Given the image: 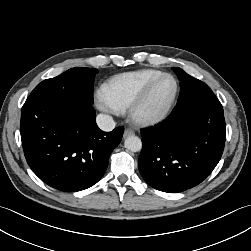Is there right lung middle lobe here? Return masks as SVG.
<instances>
[{"mask_svg":"<svg viewBox=\"0 0 251 251\" xmlns=\"http://www.w3.org/2000/svg\"><path fill=\"white\" fill-rule=\"evenodd\" d=\"M94 68H71L61 75L39 83L30 96L50 97L73 104L92 105Z\"/></svg>","mask_w":251,"mask_h":251,"instance_id":"1","label":"right lung middle lobe"}]
</instances>
